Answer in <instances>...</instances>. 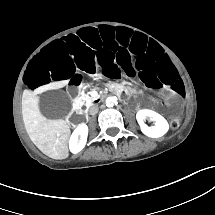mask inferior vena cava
<instances>
[{
    "label": "inferior vena cava",
    "mask_w": 215,
    "mask_h": 215,
    "mask_svg": "<svg viewBox=\"0 0 215 215\" xmlns=\"http://www.w3.org/2000/svg\"><path fill=\"white\" fill-rule=\"evenodd\" d=\"M98 110H99V108H98L97 105H92V106H90V108H89V114H90V115H95V114L98 113Z\"/></svg>",
    "instance_id": "obj_1"
}]
</instances>
